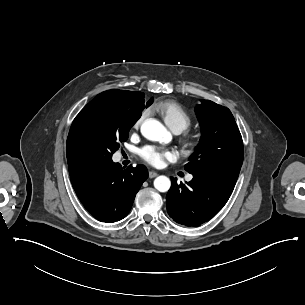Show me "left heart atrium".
Masks as SVG:
<instances>
[{"label":"left heart atrium","mask_w":305,"mask_h":305,"mask_svg":"<svg viewBox=\"0 0 305 305\" xmlns=\"http://www.w3.org/2000/svg\"><path fill=\"white\" fill-rule=\"evenodd\" d=\"M140 157L153 166H160L165 160L176 158V152L157 145H145L139 149Z\"/></svg>","instance_id":"left-heart-atrium-1"}]
</instances>
